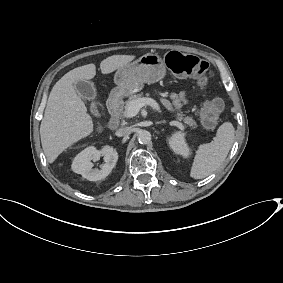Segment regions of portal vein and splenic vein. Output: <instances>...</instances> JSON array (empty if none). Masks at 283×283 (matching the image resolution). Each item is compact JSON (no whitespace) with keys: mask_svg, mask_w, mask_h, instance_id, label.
<instances>
[{"mask_svg":"<svg viewBox=\"0 0 283 283\" xmlns=\"http://www.w3.org/2000/svg\"><path fill=\"white\" fill-rule=\"evenodd\" d=\"M145 105L151 106L161 116L164 115L159 103L156 100H154L153 98L145 97L128 104L125 111L126 118H133L134 116H136L139 113L140 109ZM173 123L174 122H171L170 125H173Z\"/></svg>","mask_w":283,"mask_h":283,"instance_id":"1","label":"portal vein and splenic vein"}]
</instances>
